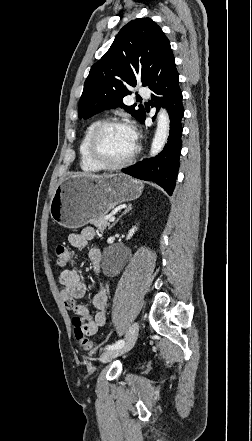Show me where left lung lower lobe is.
Segmentation results:
<instances>
[{
	"label": "left lung lower lobe",
	"mask_w": 252,
	"mask_h": 441,
	"mask_svg": "<svg viewBox=\"0 0 252 441\" xmlns=\"http://www.w3.org/2000/svg\"><path fill=\"white\" fill-rule=\"evenodd\" d=\"M157 110L164 106L170 117V132L164 150L155 158L136 163L122 171L138 179L153 181L172 195L179 169L181 153V120L184 115L182 92L170 43L166 44L158 58L157 68L148 85ZM145 116L140 121L143 123Z\"/></svg>",
	"instance_id": "0a47b994"
}]
</instances>
